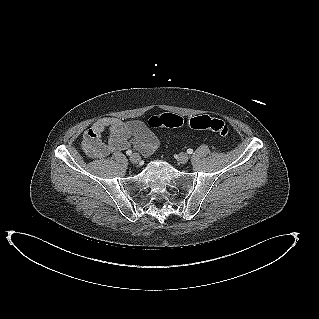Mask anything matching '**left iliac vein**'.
<instances>
[{
  "instance_id": "1",
  "label": "left iliac vein",
  "mask_w": 319,
  "mask_h": 319,
  "mask_svg": "<svg viewBox=\"0 0 319 319\" xmlns=\"http://www.w3.org/2000/svg\"><path fill=\"white\" fill-rule=\"evenodd\" d=\"M189 160V156L187 153H184V152H181L178 156V161L181 163V164H185L187 163Z\"/></svg>"
}]
</instances>
